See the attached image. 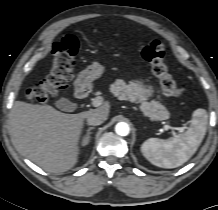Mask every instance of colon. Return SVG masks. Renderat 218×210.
Returning a JSON list of instances; mask_svg holds the SVG:
<instances>
[{
	"instance_id": "5ec220e1",
	"label": "colon",
	"mask_w": 218,
	"mask_h": 210,
	"mask_svg": "<svg viewBox=\"0 0 218 210\" xmlns=\"http://www.w3.org/2000/svg\"><path fill=\"white\" fill-rule=\"evenodd\" d=\"M78 41L66 36L54 47V63L51 72L38 85L28 90L26 96L32 102L44 103L65 89L72 79ZM142 58L149 64L152 74L158 78L164 94L181 98L186 84L178 85L165 64V47L159 40L151 41L142 51Z\"/></svg>"
}]
</instances>
